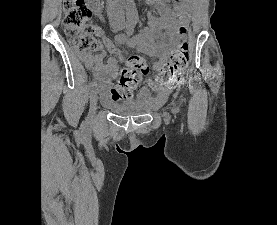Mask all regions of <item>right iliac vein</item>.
<instances>
[{
  "instance_id": "obj_1",
  "label": "right iliac vein",
  "mask_w": 277,
  "mask_h": 225,
  "mask_svg": "<svg viewBox=\"0 0 277 225\" xmlns=\"http://www.w3.org/2000/svg\"><path fill=\"white\" fill-rule=\"evenodd\" d=\"M98 95L96 91H93L90 96V113L94 114L97 107Z\"/></svg>"
}]
</instances>
